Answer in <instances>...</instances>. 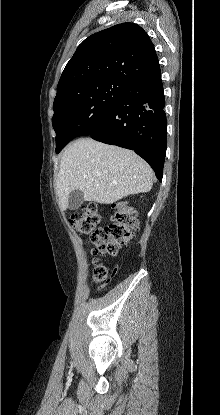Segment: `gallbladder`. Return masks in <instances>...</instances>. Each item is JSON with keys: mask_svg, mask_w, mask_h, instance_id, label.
I'll return each instance as SVG.
<instances>
[{"mask_svg": "<svg viewBox=\"0 0 220 415\" xmlns=\"http://www.w3.org/2000/svg\"><path fill=\"white\" fill-rule=\"evenodd\" d=\"M83 200H84V196H83L82 191L80 190L71 191L68 196V208L70 210L78 209L83 203Z\"/></svg>", "mask_w": 220, "mask_h": 415, "instance_id": "gallbladder-1", "label": "gallbladder"}]
</instances>
